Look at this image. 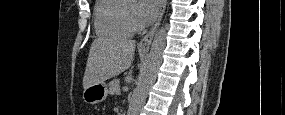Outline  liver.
Masks as SVG:
<instances>
[{
	"label": "liver",
	"mask_w": 285,
	"mask_h": 115,
	"mask_svg": "<svg viewBox=\"0 0 285 115\" xmlns=\"http://www.w3.org/2000/svg\"><path fill=\"white\" fill-rule=\"evenodd\" d=\"M135 41L123 37H100L93 41L83 77L84 89L103 83L130 67Z\"/></svg>",
	"instance_id": "1"
}]
</instances>
